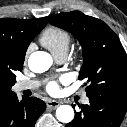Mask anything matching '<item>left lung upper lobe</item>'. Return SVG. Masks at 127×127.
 <instances>
[{"instance_id": "1", "label": "left lung upper lobe", "mask_w": 127, "mask_h": 127, "mask_svg": "<svg viewBox=\"0 0 127 127\" xmlns=\"http://www.w3.org/2000/svg\"><path fill=\"white\" fill-rule=\"evenodd\" d=\"M49 23L72 33L81 43L87 96L127 97V54L117 35L101 20L79 11L56 14Z\"/></svg>"}]
</instances>
